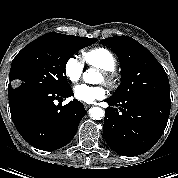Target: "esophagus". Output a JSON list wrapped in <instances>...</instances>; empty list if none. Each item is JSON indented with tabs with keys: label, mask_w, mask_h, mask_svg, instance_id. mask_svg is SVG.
<instances>
[{
	"label": "esophagus",
	"mask_w": 178,
	"mask_h": 178,
	"mask_svg": "<svg viewBox=\"0 0 178 178\" xmlns=\"http://www.w3.org/2000/svg\"><path fill=\"white\" fill-rule=\"evenodd\" d=\"M84 107H85V109L87 110V109H89L90 107H92V105H90V104H84Z\"/></svg>",
	"instance_id": "34e87169"
}]
</instances>
